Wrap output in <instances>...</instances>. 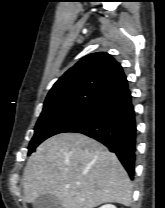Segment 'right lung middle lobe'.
<instances>
[{
	"label": "right lung middle lobe",
	"instance_id": "dd1d6c3e",
	"mask_svg": "<svg viewBox=\"0 0 165 208\" xmlns=\"http://www.w3.org/2000/svg\"><path fill=\"white\" fill-rule=\"evenodd\" d=\"M94 106L85 103H65L44 107L34 129L28 155L34 152L45 139L62 133L79 122L91 112Z\"/></svg>",
	"mask_w": 165,
	"mask_h": 208
}]
</instances>
